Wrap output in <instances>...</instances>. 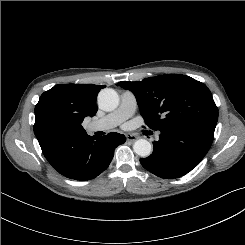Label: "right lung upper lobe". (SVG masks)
<instances>
[{
	"label": "right lung upper lobe",
	"instance_id": "1",
	"mask_svg": "<svg viewBox=\"0 0 245 245\" xmlns=\"http://www.w3.org/2000/svg\"><path fill=\"white\" fill-rule=\"evenodd\" d=\"M104 87L63 84L41 95L35 106L34 133L50 164L58 160L64 143L89 136L81 123L96 114V96Z\"/></svg>",
	"mask_w": 245,
	"mask_h": 245
}]
</instances>
